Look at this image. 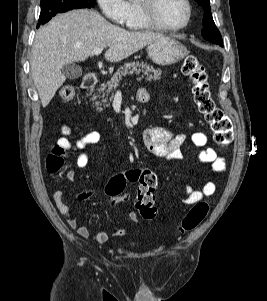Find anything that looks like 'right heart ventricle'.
<instances>
[{
	"label": "right heart ventricle",
	"mask_w": 267,
	"mask_h": 301,
	"mask_svg": "<svg viewBox=\"0 0 267 301\" xmlns=\"http://www.w3.org/2000/svg\"><path fill=\"white\" fill-rule=\"evenodd\" d=\"M126 26L131 30H153L141 16L137 0L129 2V19Z\"/></svg>",
	"instance_id": "1"
}]
</instances>
